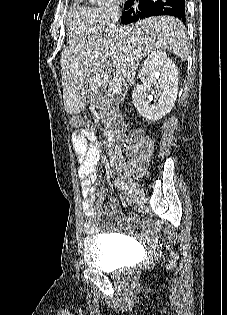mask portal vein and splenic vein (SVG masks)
<instances>
[{
    "mask_svg": "<svg viewBox=\"0 0 227 315\" xmlns=\"http://www.w3.org/2000/svg\"><path fill=\"white\" fill-rule=\"evenodd\" d=\"M124 78V72L117 71L116 76L114 77V85L111 86V88L108 89V92L112 93L116 91L117 86L123 81ZM93 84H101V78H94Z\"/></svg>",
    "mask_w": 227,
    "mask_h": 315,
    "instance_id": "1",
    "label": "portal vein and splenic vein"
}]
</instances>
